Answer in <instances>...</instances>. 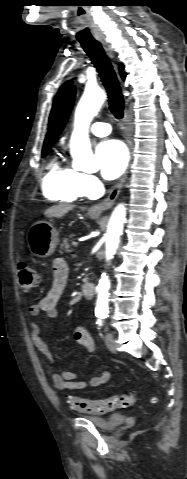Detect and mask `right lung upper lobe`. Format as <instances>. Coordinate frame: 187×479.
Wrapping results in <instances>:
<instances>
[{
	"mask_svg": "<svg viewBox=\"0 0 187 479\" xmlns=\"http://www.w3.org/2000/svg\"><path fill=\"white\" fill-rule=\"evenodd\" d=\"M119 68H120L121 77H122L123 80H125L126 72L123 71V69H124L123 65L120 64ZM74 98H75V88L72 87V89L70 91V94H69V97H68V99L66 101V104L64 106L63 112H62L59 120L57 121V124L46 136L44 146H43V151H49L50 150V147L52 146L53 142L56 140V138L58 137V135L60 134V132L64 128V126L66 124V121L68 119V116L70 114Z\"/></svg>",
	"mask_w": 187,
	"mask_h": 479,
	"instance_id": "cb5924a9",
	"label": "right lung upper lobe"
}]
</instances>
